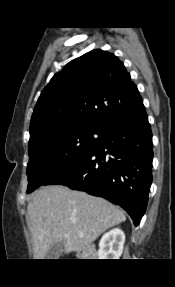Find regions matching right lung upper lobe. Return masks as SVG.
Returning a JSON list of instances; mask_svg holds the SVG:
<instances>
[{
  "label": "right lung upper lobe",
  "instance_id": "obj_1",
  "mask_svg": "<svg viewBox=\"0 0 175 287\" xmlns=\"http://www.w3.org/2000/svg\"><path fill=\"white\" fill-rule=\"evenodd\" d=\"M141 104L123 63L112 53L92 50L69 62L41 92L29 144L75 126H103Z\"/></svg>",
  "mask_w": 175,
  "mask_h": 287
}]
</instances>
